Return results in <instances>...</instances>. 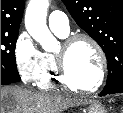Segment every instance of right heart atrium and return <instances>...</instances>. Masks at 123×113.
Listing matches in <instances>:
<instances>
[{
	"label": "right heart atrium",
	"instance_id": "d8ad5b80",
	"mask_svg": "<svg viewBox=\"0 0 123 113\" xmlns=\"http://www.w3.org/2000/svg\"><path fill=\"white\" fill-rule=\"evenodd\" d=\"M14 64L24 85L35 86L41 72L42 52L27 32H21L13 47Z\"/></svg>",
	"mask_w": 123,
	"mask_h": 113
}]
</instances>
